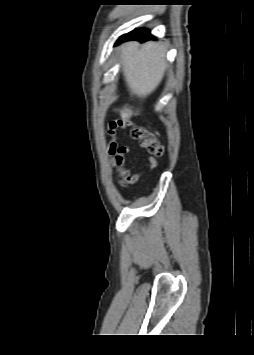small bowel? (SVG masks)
Wrapping results in <instances>:
<instances>
[{
	"instance_id": "small-bowel-1",
	"label": "small bowel",
	"mask_w": 254,
	"mask_h": 355,
	"mask_svg": "<svg viewBox=\"0 0 254 355\" xmlns=\"http://www.w3.org/2000/svg\"><path fill=\"white\" fill-rule=\"evenodd\" d=\"M111 124H113L111 126ZM126 130L127 126L122 120L113 121L108 126V135L111 138L108 146L107 153L110 156V163L114 169L117 170V179L119 183L128 187L135 184L142 174L152 170L156 167L157 161L153 157H149L147 163L137 172L132 173L126 164V155L131 152V148L127 145H120L117 141L118 130Z\"/></svg>"
}]
</instances>
